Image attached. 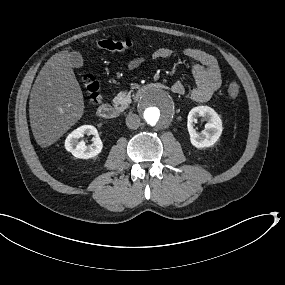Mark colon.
<instances>
[{
    "mask_svg": "<svg viewBox=\"0 0 285 285\" xmlns=\"http://www.w3.org/2000/svg\"><path fill=\"white\" fill-rule=\"evenodd\" d=\"M95 47L108 51H127L133 47V43L129 40H112L101 39L92 42ZM82 83L91 103L97 104L101 99L99 91V83L92 74H84ZM227 94L234 98L240 94V85L236 82H231L227 86Z\"/></svg>",
    "mask_w": 285,
    "mask_h": 285,
    "instance_id": "5ec220e1",
    "label": "colon"
}]
</instances>
